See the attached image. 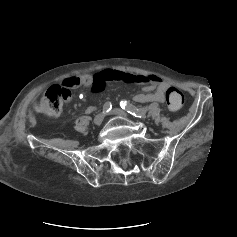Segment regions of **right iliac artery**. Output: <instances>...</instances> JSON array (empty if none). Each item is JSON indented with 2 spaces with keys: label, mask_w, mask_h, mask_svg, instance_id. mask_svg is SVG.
Wrapping results in <instances>:
<instances>
[{
  "label": "right iliac artery",
  "mask_w": 237,
  "mask_h": 237,
  "mask_svg": "<svg viewBox=\"0 0 237 237\" xmlns=\"http://www.w3.org/2000/svg\"><path fill=\"white\" fill-rule=\"evenodd\" d=\"M111 108H112L111 102H106V103L103 105L102 111H103L104 114H106V113H108V112L111 110Z\"/></svg>",
  "instance_id": "right-iliac-artery-1"
}]
</instances>
